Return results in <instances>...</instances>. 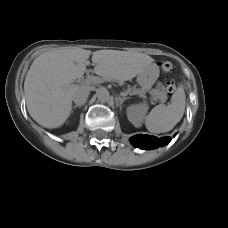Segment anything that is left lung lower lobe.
Here are the masks:
<instances>
[{
    "label": "left lung lower lobe",
    "mask_w": 228,
    "mask_h": 228,
    "mask_svg": "<svg viewBox=\"0 0 228 228\" xmlns=\"http://www.w3.org/2000/svg\"><path fill=\"white\" fill-rule=\"evenodd\" d=\"M169 142H170V138L168 137L158 139L155 136L143 135V134L135 135L131 138V143L134 146L139 147L141 149H154L159 146L166 145Z\"/></svg>",
    "instance_id": "1"
}]
</instances>
